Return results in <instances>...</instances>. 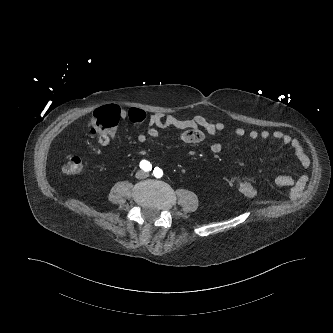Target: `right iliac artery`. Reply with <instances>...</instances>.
Wrapping results in <instances>:
<instances>
[{
    "mask_svg": "<svg viewBox=\"0 0 333 333\" xmlns=\"http://www.w3.org/2000/svg\"><path fill=\"white\" fill-rule=\"evenodd\" d=\"M140 168H141L142 170H144L145 172H148V171H151V169H152V165H151V163H150L149 161H147V160H142V161L140 162Z\"/></svg>",
    "mask_w": 333,
    "mask_h": 333,
    "instance_id": "obj_1",
    "label": "right iliac artery"
}]
</instances>
